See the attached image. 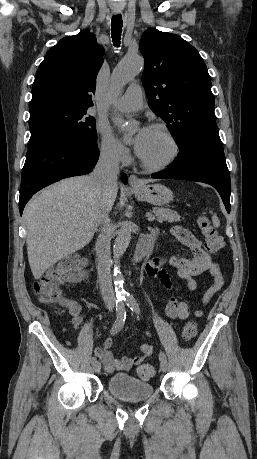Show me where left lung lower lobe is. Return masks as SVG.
I'll list each match as a JSON object with an SVG mask.
<instances>
[{"instance_id": "left-lung-lower-lobe-1", "label": "left lung lower lobe", "mask_w": 257, "mask_h": 459, "mask_svg": "<svg viewBox=\"0 0 257 459\" xmlns=\"http://www.w3.org/2000/svg\"><path fill=\"white\" fill-rule=\"evenodd\" d=\"M151 177L207 183L219 192L230 212V174L216 124L194 130L172 165Z\"/></svg>"}]
</instances>
